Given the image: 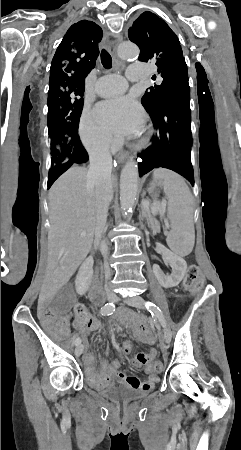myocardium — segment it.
<instances>
[{
    "label": "myocardium",
    "mask_w": 241,
    "mask_h": 450,
    "mask_svg": "<svg viewBox=\"0 0 241 450\" xmlns=\"http://www.w3.org/2000/svg\"><path fill=\"white\" fill-rule=\"evenodd\" d=\"M142 142H147V137H149L150 136V133L149 132H146V131H144V132H142ZM141 149H147L148 148V145L147 144H141Z\"/></svg>",
    "instance_id": "obj_1"
}]
</instances>
